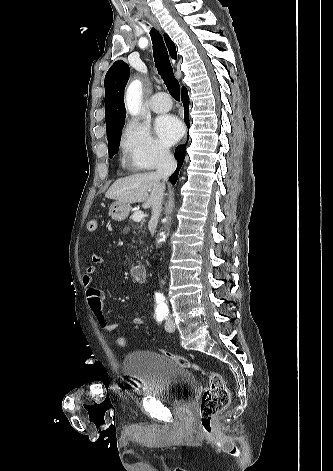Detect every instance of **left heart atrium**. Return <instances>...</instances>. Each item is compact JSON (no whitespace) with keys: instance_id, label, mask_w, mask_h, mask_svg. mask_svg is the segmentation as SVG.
Here are the masks:
<instances>
[{"instance_id":"obj_1","label":"left heart atrium","mask_w":333,"mask_h":471,"mask_svg":"<svg viewBox=\"0 0 333 471\" xmlns=\"http://www.w3.org/2000/svg\"><path fill=\"white\" fill-rule=\"evenodd\" d=\"M155 127L160 140L166 145L176 142L183 132L180 121L173 116L160 117Z\"/></svg>"}]
</instances>
